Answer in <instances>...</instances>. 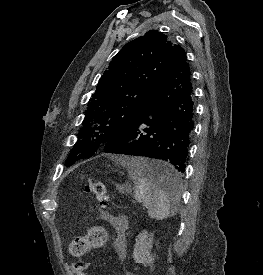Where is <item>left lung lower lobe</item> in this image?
Returning a JSON list of instances; mask_svg holds the SVG:
<instances>
[{
    "instance_id": "obj_1",
    "label": "left lung lower lobe",
    "mask_w": 263,
    "mask_h": 275,
    "mask_svg": "<svg viewBox=\"0 0 263 275\" xmlns=\"http://www.w3.org/2000/svg\"><path fill=\"white\" fill-rule=\"evenodd\" d=\"M194 119L191 73L181 48L146 107L127 131L105 144L104 151L167 161L170 169L152 168L145 173L172 193L186 170Z\"/></svg>"
}]
</instances>
